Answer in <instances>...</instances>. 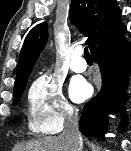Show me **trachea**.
I'll return each instance as SVG.
<instances>
[{
    "label": "trachea",
    "mask_w": 131,
    "mask_h": 151,
    "mask_svg": "<svg viewBox=\"0 0 131 151\" xmlns=\"http://www.w3.org/2000/svg\"><path fill=\"white\" fill-rule=\"evenodd\" d=\"M84 56H85L86 60H91V55H90L87 47L84 48Z\"/></svg>",
    "instance_id": "1"
}]
</instances>
